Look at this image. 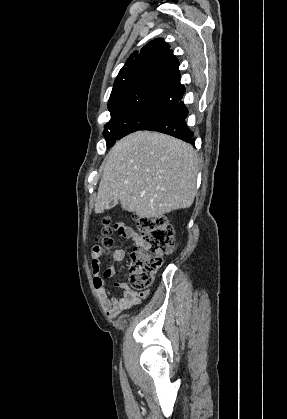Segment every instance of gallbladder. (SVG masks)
Segmentation results:
<instances>
[{
    "label": "gallbladder",
    "mask_w": 287,
    "mask_h": 419,
    "mask_svg": "<svg viewBox=\"0 0 287 419\" xmlns=\"http://www.w3.org/2000/svg\"><path fill=\"white\" fill-rule=\"evenodd\" d=\"M118 204L117 200H111L106 204V209L110 210L113 209Z\"/></svg>",
    "instance_id": "gallbladder-1"
}]
</instances>
